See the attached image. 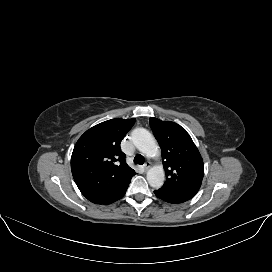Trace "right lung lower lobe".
Instances as JSON below:
<instances>
[{
	"instance_id": "98d812e1",
	"label": "right lung lower lobe",
	"mask_w": 272,
	"mask_h": 272,
	"mask_svg": "<svg viewBox=\"0 0 272 272\" xmlns=\"http://www.w3.org/2000/svg\"><path fill=\"white\" fill-rule=\"evenodd\" d=\"M126 190H127V188L121 194H119L118 196H116L113 200H111L110 202L106 203L105 205L111 204V203L119 200L120 198H122L124 196V194L126 193Z\"/></svg>"
}]
</instances>
